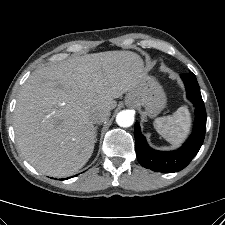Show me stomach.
Returning <instances> with one entry per match:
<instances>
[{"instance_id": "1", "label": "stomach", "mask_w": 225, "mask_h": 225, "mask_svg": "<svg viewBox=\"0 0 225 225\" xmlns=\"http://www.w3.org/2000/svg\"><path fill=\"white\" fill-rule=\"evenodd\" d=\"M126 103L143 106L147 115L154 117L165 107L166 96L160 84L146 76L141 85L127 94Z\"/></svg>"}]
</instances>
